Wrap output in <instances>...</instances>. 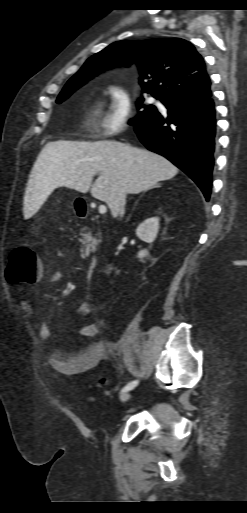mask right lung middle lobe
<instances>
[{
  "instance_id": "obj_1",
  "label": "right lung middle lobe",
  "mask_w": 247,
  "mask_h": 513,
  "mask_svg": "<svg viewBox=\"0 0 247 513\" xmlns=\"http://www.w3.org/2000/svg\"><path fill=\"white\" fill-rule=\"evenodd\" d=\"M85 83H86V81H79V80L74 79V78L70 79L66 83V85L64 86V88L61 91V93L59 94L58 99H57V103H60L63 100H65L76 89H78L80 86H82ZM143 100H144L143 98H140L139 102H136L137 109H140L141 112H139V114L135 118L130 119L129 124L132 125V126H136L137 124L147 120L148 118L152 117L155 113L158 112L157 108L154 105L142 104Z\"/></svg>"
}]
</instances>
